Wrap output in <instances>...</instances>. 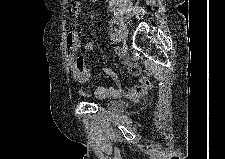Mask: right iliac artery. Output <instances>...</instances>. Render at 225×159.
<instances>
[{"label": "right iliac artery", "mask_w": 225, "mask_h": 159, "mask_svg": "<svg viewBox=\"0 0 225 159\" xmlns=\"http://www.w3.org/2000/svg\"><path fill=\"white\" fill-rule=\"evenodd\" d=\"M110 38L114 43H118L120 41L119 35L117 33H111Z\"/></svg>", "instance_id": "82829eb1"}]
</instances>
